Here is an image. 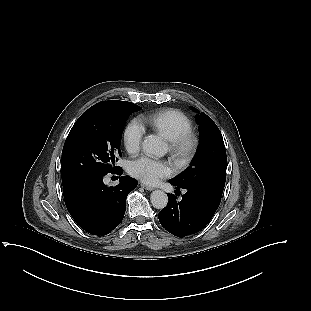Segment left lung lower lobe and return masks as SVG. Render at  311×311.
<instances>
[{"label":"left lung lower lobe","mask_w":311,"mask_h":311,"mask_svg":"<svg viewBox=\"0 0 311 311\" xmlns=\"http://www.w3.org/2000/svg\"><path fill=\"white\" fill-rule=\"evenodd\" d=\"M169 183L176 186V192L180 188L186 189L187 192L181 201H176L177 197L174 194H167L169 202L159 212L161 225L178 237L199 232L211 220L221 199L197 188L180 187L170 180Z\"/></svg>","instance_id":"obj_1"}]
</instances>
